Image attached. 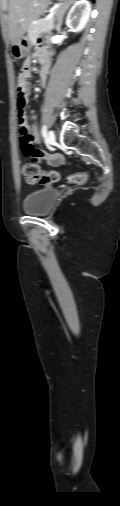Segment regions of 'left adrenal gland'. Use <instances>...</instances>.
<instances>
[{"mask_svg":"<svg viewBox=\"0 0 120 506\" xmlns=\"http://www.w3.org/2000/svg\"><path fill=\"white\" fill-rule=\"evenodd\" d=\"M73 2H69L67 5H64L56 14V20H57V24H56V31L57 33H60L61 32V26H62V22H63V16L66 12V10L68 9V7L70 6V4H72Z\"/></svg>","mask_w":120,"mask_h":506,"instance_id":"obj_1","label":"left adrenal gland"}]
</instances>
